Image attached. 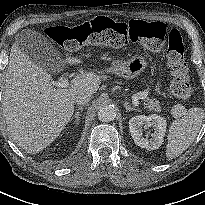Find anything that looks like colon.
<instances>
[{
	"label": "colon",
	"instance_id": "obj_1",
	"mask_svg": "<svg viewBox=\"0 0 205 205\" xmlns=\"http://www.w3.org/2000/svg\"><path fill=\"white\" fill-rule=\"evenodd\" d=\"M46 33L55 43L71 51L79 50L86 43L114 48L137 43L152 51H159L166 42L167 63L173 75L171 93L180 100L192 95L182 36L177 29L167 32L166 26L160 21L132 19L129 22H116L99 16L75 27L51 26Z\"/></svg>",
	"mask_w": 205,
	"mask_h": 205
}]
</instances>
